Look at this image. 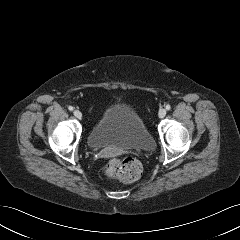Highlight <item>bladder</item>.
<instances>
[{
	"label": "bladder",
	"instance_id": "bladder-1",
	"mask_svg": "<svg viewBox=\"0 0 240 240\" xmlns=\"http://www.w3.org/2000/svg\"><path fill=\"white\" fill-rule=\"evenodd\" d=\"M88 145L93 149L150 151L154 139L142 118L130 106L115 103L109 106L88 134Z\"/></svg>",
	"mask_w": 240,
	"mask_h": 240
}]
</instances>
